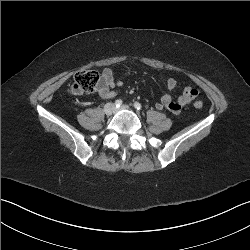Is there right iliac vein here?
<instances>
[{
    "label": "right iliac vein",
    "instance_id": "obj_1",
    "mask_svg": "<svg viewBox=\"0 0 250 250\" xmlns=\"http://www.w3.org/2000/svg\"><path fill=\"white\" fill-rule=\"evenodd\" d=\"M115 112V106L114 104L112 103H107L105 106H104V113L106 115H112L113 113Z\"/></svg>",
    "mask_w": 250,
    "mask_h": 250
}]
</instances>
